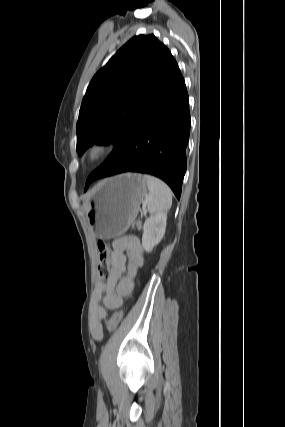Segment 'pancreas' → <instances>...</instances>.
Listing matches in <instances>:
<instances>
[{
    "instance_id": "1",
    "label": "pancreas",
    "mask_w": 285,
    "mask_h": 427,
    "mask_svg": "<svg viewBox=\"0 0 285 427\" xmlns=\"http://www.w3.org/2000/svg\"><path fill=\"white\" fill-rule=\"evenodd\" d=\"M136 225H137V227L139 228V227H140V225H141V222H140V221H137V222H136Z\"/></svg>"
}]
</instances>
